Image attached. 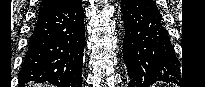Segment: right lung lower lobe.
Here are the masks:
<instances>
[{
    "label": "right lung lower lobe",
    "mask_w": 205,
    "mask_h": 87,
    "mask_svg": "<svg viewBox=\"0 0 205 87\" xmlns=\"http://www.w3.org/2000/svg\"><path fill=\"white\" fill-rule=\"evenodd\" d=\"M81 0L39 12L18 74L19 86L30 81L81 87L85 46Z\"/></svg>",
    "instance_id": "right-lung-lower-lobe-1"
}]
</instances>
